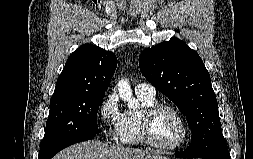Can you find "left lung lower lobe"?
Segmentation results:
<instances>
[{
	"instance_id": "left-lung-lower-lobe-1",
	"label": "left lung lower lobe",
	"mask_w": 253,
	"mask_h": 159,
	"mask_svg": "<svg viewBox=\"0 0 253 159\" xmlns=\"http://www.w3.org/2000/svg\"><path fill=\"white\" fill-rule=\"evenodd\" d=\"M179 158H202V159H231L228 152L227 144L224 137L217 139L209 152L206 154H198L195 145H189L183 152L177 153Z\"/></svg>"
}]
</instances>
